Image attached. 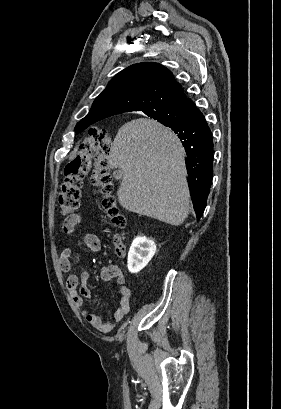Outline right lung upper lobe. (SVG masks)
<instances>
[{"instance_id": "obj_1", "label": "right lung upper lobe", "mask_w": 281, "mask_h": 409, "mask_svg": "<svg viewBox=\"0 0 281 409\" xmlns=\"http://www.w3.org/2000/svg\"><path fill=\"white\" fill-rule=\"evenodd\" d=\"M173 74L158 63L134 64L119 72L95 99L92 108L76 125L83 131L106 117L130 111H154L186 100Z\"/></svg>"}]
</instances>
